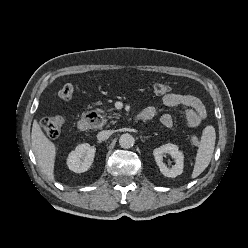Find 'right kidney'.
<instances>
[{"label": "right kidney", "mask_w": 248, "mask_h": 248, "mask_svg": "<svg viewBox=\"0 0 248 248\" xmlns=\"http://www.w3.org/2000/svg\"><path fill=\"white\" fill-rule=\"evenodd\" d=\"M96 148L88 143L78 145L68 158V168L75 173H83L87 171L93 163Z\"/></svg>", "instance_id": "1"}]
</instances>
